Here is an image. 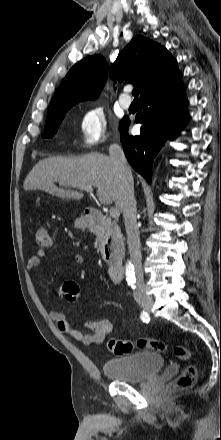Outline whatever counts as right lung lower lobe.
<instances>
[{"mask_svg": "<svg viewBox=\"0 0 221 440\" xmlns=\"http://www.w3.org/2000/svg\"><path fill=\"white\" fill-rule=\"evenodd\" d=\"M185 87L179 79L171 86L139 99L135 121L141 123V135H128L129 119L120 125L121 143L131 166L149 183L153 158L169 138H175L188 118Z\"/></svg>", "mask_w": 221, "mask_h": 440, "instance_id": "right-lung-lower-lobe-1", "label": "right lung lower lobe"}]
</instances>
